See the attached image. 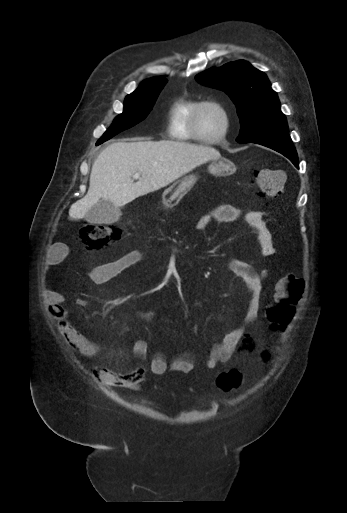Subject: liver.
Segmentation results:
<instances>
[{
  "label": "liver",
  "mask_w": 347,
  "mask_h": 513,
  "mask_svg": "<svg viewBox=\"0 0 347 513\" xmlns=\"http://www.w3.org/2000/svg\"><path fill=\"white\" fill-rule=\"evenodd\" d=\"M219 157L212 147L171 140L112 143L95 160L88 192L71 205L69 217L84 218L100 198L124 206ZM136 173L142 177L134 183L132 176Z\"/></svg>",
  "instance_id": "liver-1"
}]
</instances>
